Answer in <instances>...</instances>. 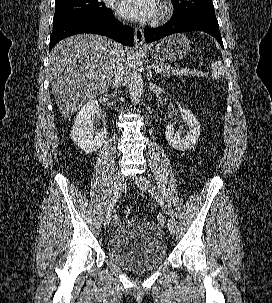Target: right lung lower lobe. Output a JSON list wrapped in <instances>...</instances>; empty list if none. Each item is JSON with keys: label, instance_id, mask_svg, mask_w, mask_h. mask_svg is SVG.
Listing matches in <instances>:
<instances>
[{"label": "right lung lower lobe", "instance_id": "obj_1", "mask_svg": "<svg viewBox=\"0 0 272 303\" xmlns=\"http://www.w3.org/2000/svg\"><path fill=\"white\" fill-rule=\"evenodd\" d=\"M121 25L119 21L113 18V13L108 15L83 14L53 22L49 49L51 51L60 40L80 33L100 34L112 38L123 45L132 46L134 39L133 30L129 26L122 29Z\"/></svg>", "mask_w": 272, "mask_h": 303}]
</instances>
